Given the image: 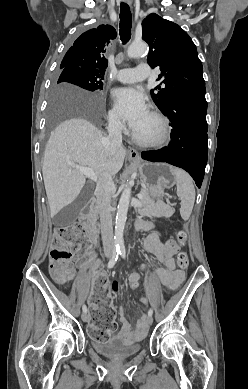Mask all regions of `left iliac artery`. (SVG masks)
Wrapping results in <instances>:
<instances>
[{
	"mask_svg": "<svg viewBox=\"0 0 248 389\" xmlns=\"http://www.w3.org/2000/svg\"><path fill=\"white\" fill-rule=\"evenodd\" d=\"M119 254L121 255L122 258H125L126 257V251H125V247L124 246H121L119 248ZM153 314V310L152 309H149L148 311V315L149 316H152Z\"/></svg>",
	"mask_w": 248,
	"mask_h": 389,
	"instance_id": "44dca946",
	"label": "left iliac artery"
}]
</instances>
